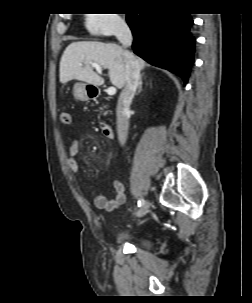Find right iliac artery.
Masks as SVG:
<instances>
[{"label": "right iliac artery", "mask_w": 252, "mask_h": 303, "mask_svg": "<svg viewBox=\"0 0 252 303\" xmlns=\"http://www.w3.org/2000/svg\"><path fill=\"white\" fill-rule=\"evenodd\" d=\"M144 204V200L142 199V198H140L139 200H138V206L140 207L141 205H143Z\"/></svg>", "instance_id": "right-iliac-artery-1"}]
</instances>
